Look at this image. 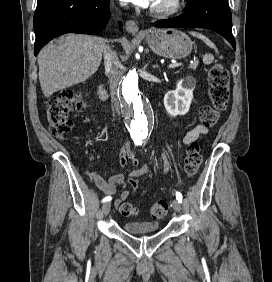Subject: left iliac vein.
Here are the masks:
<instances>
[{
    "mask_svg": "<svg viewBox=\"0 0 272 282\" xmlns=\"http://www.w3.org/2000/svg\"><path fill=\"white\" fill-rule=\"evenodd\" d=\"M172 207L176 212H180L181 210V204L178 202V200H173Z\"/></svg>",
    "mask_w": 272,
    "mask_h": 282,
    "instance_id": "1",
    "label": "left iliac vein"
}]
</instances>
